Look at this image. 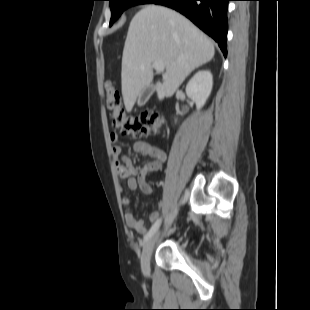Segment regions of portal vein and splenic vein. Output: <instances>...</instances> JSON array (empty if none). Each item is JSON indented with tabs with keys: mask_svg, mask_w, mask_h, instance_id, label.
Instances as JSON below:
<instances>
[{
	"mask_svg": "<svg viewBox=\"0 0 310 310\" xmlns=\"http://www.w3.org/2000/svg\"><path fill=\"white\" fill-rule=\"evenodd\" d=\"M152 67L159 73L164 71V63L163 62H155L153 63Z\"/></svg>",
	"mask_w": 310,
	"mask_h": 310,
	"instance_id": "18ae733b",
	"label": "portal vein and splenic vein"
}]
</instances>
